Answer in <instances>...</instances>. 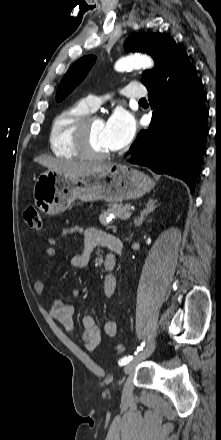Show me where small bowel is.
<instances>
[{"mask_svg": "<svg viewBox=\"0 0 221 440\" xmlns=\"http://www.w3.org/2000/svg\"><path fill=\"white\" fill-rule=\"evenodd\" d=\"M80 232L83 237L82 250L73 255L71 259L72 266L76 268H85L88 265L89 258L93 250L97 246H103L109 248L113 236L107 234L101 230L95 228L81 229L79 227L65 228L58 236H51L49 243L51 245L58 244L68 236ZM55 255V249L49 247L45 251V259H50ZM113 259L111 254H106L105 261ZM105 263V262H104ZM116 278L113 274H108L104 278L102 284V294L105 298H111L116 290ZM34 290L38 294H43L45 291V284L43 281L38 280L34 283ZM79 290H73L72 295L74 297L79 296ZM75 312L74 305L71 303H65L60 299L52 300L49 304V314L56 320L67 332L74 331L73 315ZM83 332L81 335V341L89 350H94L102 343V333L95 323V319L92 315H84L82 318ZM104 333L107 337L112 338L117 333V323L113 318H110L104 326Z\"/></svg>", "mask_w": 221, "mask_h": 440, "instance_id": "obj_1", "label": "small bowel"}]
</instances>
